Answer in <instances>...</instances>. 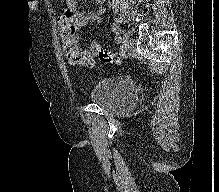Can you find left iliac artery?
Here are the masks:
<instances>
[{"label":"left iliac artery","mask_w":219,"mask_h":192,"mask_svg":"<svg viewBox=\"0 0 219 192\" xmlns=\"http://www.w3.org/2000/svg\"><path fill=\"white\" fill-rule=\"evenodd\" d=\"M115 40L117 43H120V37H116Z\"/></svg>","instance_id":"left-iliac-artery-1"}]
</instances>
